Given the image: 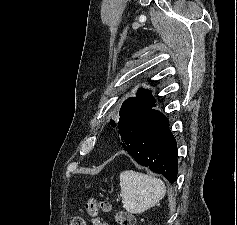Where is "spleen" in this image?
Masks as SVG:
<instances>
[{
    "label": "spleen",
    "instance_id": "spleen-1",
    "mask_svg": "<svg viewBox=\"0 0 237 225\" xmlns=\"http://www.w3.org/2000/svg\"><path fill=\"white\" fill-rule=\"evenodd\" d=\"M123 208L132 214H140L155 206L166 194V186L161 179L133 170L120 174Z\"/></svg>",
    "mask_w": 237,
    "mask_h": 225
}]
</instances>
